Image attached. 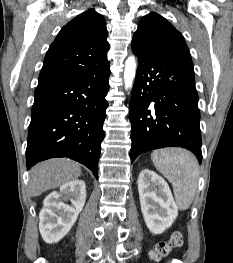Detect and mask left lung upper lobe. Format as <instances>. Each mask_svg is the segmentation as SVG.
Returning a JSON list of instances; mask_svg holds the SVG:
<instances>
[{
    "label": "left lung upper lobe",
    "mask_w": 233,
    "mask_h": 263,
    "mask_svg": "<svg viewBox=\"0 0 233 263\" xmlns=\"http://www.w3.org/2000/svg\"><path fill=\"white\" fill-rule=\"evenodd\" d=\"M132 49L158 57L192 62L182 34L165 18L153 12L140 21L132 40Z\"/></svg>",
    "instance_id": "left-lung-upper-lobe-1"
}]
</instances>
